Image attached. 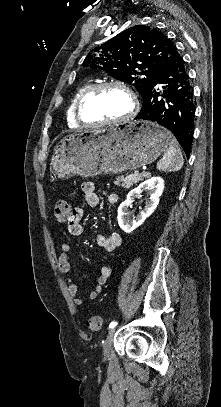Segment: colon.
<instances>
[{
	"label": "colon",
	"mask_w": 221,
	"mask_h": 407,
	"mask_svg": "<svg viewBox=\"0 0 221 407\" xmlns=\"http://www.w3.org/2000/svg\"><path fill=\"white\" fill-rule=\"evenodd\" d=\"M73 208L67 201H60L54 208V216L58 222H67L73 213ZM88 328L92 332H98L103 326L102 317L99 315L92 316L87 322Z\"/></svg>",
	"instance_id": "1"
}]
</instances>
